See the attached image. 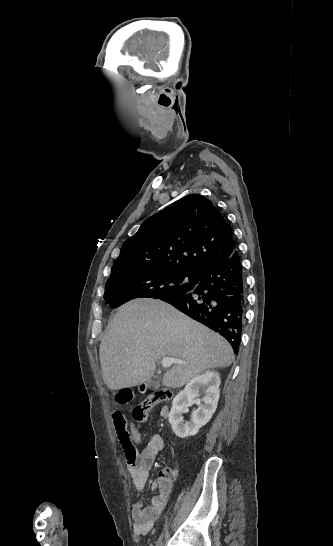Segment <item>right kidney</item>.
<instances>
[{"label": "right kidney", "mask_w": 333, "mask_h": 546, "mask_svg": "<svg viewBox=\"0 0 333 546\" xmlns=\"http://www.w3.org/2000/svg\"><path fill=\"white\" fill-rule=\"evenodd\" d=\"M219 385V373L208 370L193 378L173 399L169 422L178 437L194 436L202 426L209 422L217 408ZM200 389L205 393L203 397L204 404H201L197 410L193 411L189 421H184L183 414L188 412V407L194 403Z\"/></svg>", "instance_id": "ca27d5eb"}]
</instances>
